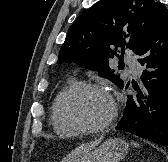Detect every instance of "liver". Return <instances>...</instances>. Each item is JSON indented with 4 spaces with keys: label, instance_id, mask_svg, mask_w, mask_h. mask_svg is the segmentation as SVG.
<instances>
[{
    "label": "liver",
    "instance_id": "liver-1",
    "mask_svg": "<svg viewBox=\"0 0 168 162\" xmlns=\"http://www.w3.org/2000/svg\"><path fill=\"white\" fill-rule=\"evenodd\" d=\"M101 140L102 139L100 138V139L95 140L91 143H87V144H84V145L77 147L72 153L68 154L67 157H65L62 162H69L74 157H77L85 152H88V151L94 149L97 145H99Z\"/></svg>",
    "mask_w": 168,
    "mask_h": 162
}]
</instances>
